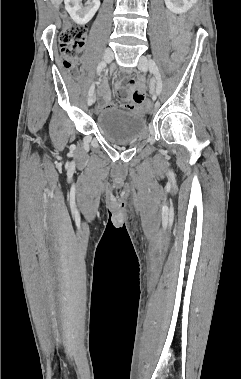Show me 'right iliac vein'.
<instances>
[{"mask_svg": "<svg viewBox=\"0 0 241 379\" xmlns=\"http://www.w3.org/2000/svg\"><path fill=\"white\" fill-rule=\"evenodd\" d=\"M114 58V54L112 52V50L110 49H107L105 50L104 54H103V59L105 62L109 63L113 60ZM95 102V95L92 94L89 98H88V106H91L93 103Z\"/></svg>", "mask_w": 241, "mask_h": 379, "instance_id": "obj_1", "label": "right iliac vein"}]
</instances>
